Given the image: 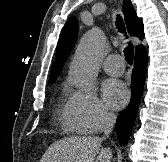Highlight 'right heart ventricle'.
<instances>
[{
	"label": "right heart ventricle",
	"mask_w": 168,
	"mask_h": 162,
	"mask_svg": "<svg viewBox=\"0 0 168 162\" xmlns=\"http://www.w3.org/2000/svg\"><path fill=\"white\" fill-rule=\"evenodd\" d=\"M60 115H61V119L63 120V122L68 125L70 127V129L76 133H82V131H80L79 129L71 126L68 121H67V118H66V115H65V110L61 111L60 112Z\"/></svg>",
	"instance_id": "obj_1"
}]
</instances>
